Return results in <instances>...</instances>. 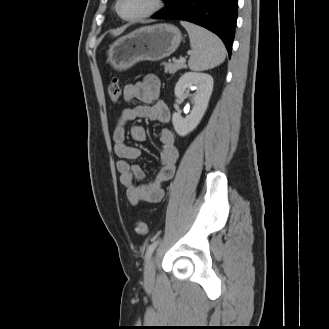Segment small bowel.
Here are the masks:
<instances>
[{
  "label": "small bowel",
  "mask_w": 329,
  "mask_h": 329,
  "mask_svg": "<svg viewBox=\"0 0 329 329\" xmlns=\"http://www.w3.org/2000/svg\"><path fill=\"white\" fill-rule=\"evenodd\" d=\"M160 89V81L153 75H149L143 81L135 84L126 85L123 89L124 101L137 100L140 104L122 110L113 128L114 152L119 157L116 168L120 174V181L126 188L128 201L132 205L141 201H160L164 196V183L174 176L176 169L179 153L171 130L163 128L159 132L160 170L156 177L148 183H142L145 174L141 167L131 163V160L140 156V150L125 143L126 126L137 118L160 123L169 122L170 110L160 97ZM129 136L135 142H144L146 130L141 125H133L129 128Z\"/></svg>",
  "instance_id": "obj_1"
}]
</instances>
